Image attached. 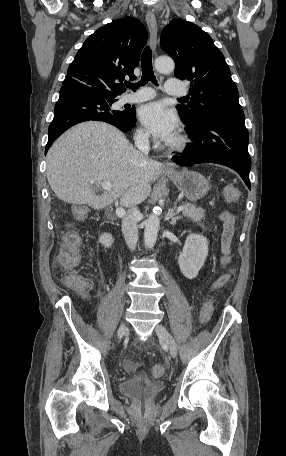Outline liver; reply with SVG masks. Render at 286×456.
Returning <instances> with one entry per match:
<instances>
[{"label": "liver", "instance_id": "obj_1", "mask_svg": "<svg viewBox=\"0 0 286 456\" xmlns=\"http://www.w3.org/2000/svg\"><path fill=\"white\" fill-rule=\"evenodd\" d=\"M46 173L60 200L99 210L119 198L123 207L142 203L150 194L151 182L162 173V164L147 159L112 125L89 121L53 143ZM103 181L111 182L112 189L97 196L96 186Z\"/></svg>", "mask_w": 286, "mask_h": 456}]
</instances>
